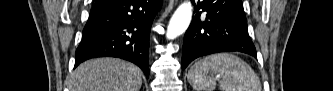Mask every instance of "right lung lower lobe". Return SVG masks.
I'll use <instances>...</instances> for the list:
<instances>
[{
    "instance_id": "obj_1",
    "label": "right lung lower lobe",
    "mask_w": 333,
    "mask_h": 91,
    "mask_svg": "<svg viewBox=\"0 0 333 91\" xmlns=\"http://www.w3.org/2000/svg\"><path fill=\"white\" fill-rule=\"evenodd\" d=\"M158 0L96 2L83 29L75 67L95 57H118L138 65L149 76V35Z\"/></svg>"
}]
</instances>
